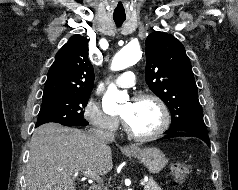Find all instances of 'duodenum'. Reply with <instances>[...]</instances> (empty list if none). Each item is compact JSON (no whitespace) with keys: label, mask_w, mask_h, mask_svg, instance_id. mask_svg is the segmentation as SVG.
Segmentation results:
<instances>
[{"label":"duodenum","mask_w":238,"mask_h":190,"mask_svg":"<svg viewBox=\"0 0 238 190\" xmlns=\"http://www.w3.org/2000/svg\"><path fill=\"white\" fill-rule=\"evenodd\" d=\"M89 190H100V189H99V187H97V186H93V187H91Z\"/></svg>","instance_id":"1"}]
</instances>
